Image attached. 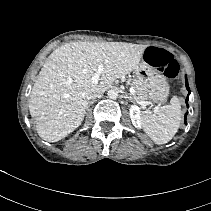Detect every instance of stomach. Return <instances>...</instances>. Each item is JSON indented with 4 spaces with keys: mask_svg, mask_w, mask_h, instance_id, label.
<instances>
[{
    "mask_svg": "<svg viewBox=\"0 0 211 211\" xmlns=\"http://www.w3.org/2000/svg\"><path fill=\"white\" fill-rule=\"evenodd\" d=\"M136 78L148 89V98L153 102H163L169 94V84L166 78L145 61L134 70Z\"/></svg>",
    "mask_w": 211,
    "mask_h": 211,
    "instance_id": "1",
    "label": "stomach"
}]
</instances>
